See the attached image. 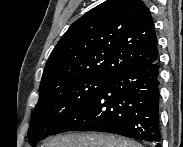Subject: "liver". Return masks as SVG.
Masks as SVG:
<instances>
[{
    "label": "liver",
    "mask_w": 183,
    "mask_h": 147,
    "mask_svg": "<svg viewBox=\"0 0 183 147\" xmlns=\"http://www.w3.org/2000/svg\"><path fill=\"white\" fill-rule=\"evenodd\" d=\"M42 147H142V145L110 134L70 133L56 136Z\"/></svg>",
    "instance_id": "6515ba94"
}]
</instances>
